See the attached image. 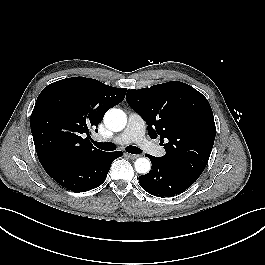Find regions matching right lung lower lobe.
I'll use <instances>...</instances> for the list:
<instances>
[{
  "instance_id": "98d812e1",
  "label": "right lung lower lobe",
  "mask_w": 265,
  "mask_h": 265,
  "mask_svg": "<svg viewBox=\"0 0 265 265\" xmlns=\"http://www.w3.org/2000/svg\"><path fill=\"white\" fill-rule=\"evenodd\" d=\"M122 152H101L100 154L65 164L47 171L62 187L83 192L100 186L107 177L112 162Z\"/></svg>"
}]
</instances>
